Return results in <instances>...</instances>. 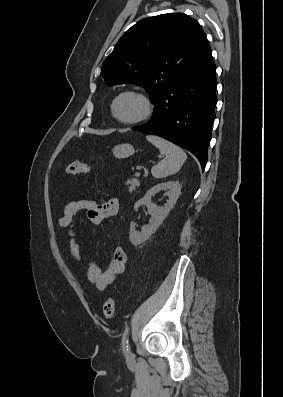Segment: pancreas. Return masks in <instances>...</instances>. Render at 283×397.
<instances>
[{
	"label": "pancreas",
	"mask_w": 283,
	"mask_h": 397,
	"mask_svg": "<svg viewBox=\"0 0 283 397\" xmlns=\"http://www.w3.org/2000/svg\"><path fill=\"white\" fill-rule=\"evenodd\" d=\"M140 180L139 179H136V178H132V179H129L126 183H125V185H129V191L130 192H133V191H135L136 189H137V187L138 186H140Z\"/></svg>",
	"instance_id": "1"
}]
</instances>
